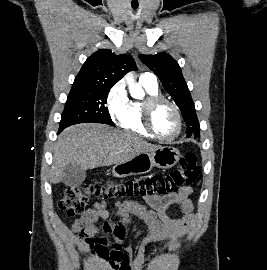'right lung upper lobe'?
Returning a JSON list of instances; mask_svg holds the SVG:
<instances>
[{"mask_svg": "<svg viewBox=\"0 0 267 270\" xmlns=\"http://www.w3.org/2000/svg\"><path fill=\"white\" fill-rule=\"evenodd\" d=\"M130 70H136L131 56L101 49L86 60L73 86H113Z\"/></svg>", "mask_w": 267, "mask_h": 270, "instance_id": "obj_1", "label": "right lung upper lobe"}]
</instances>
